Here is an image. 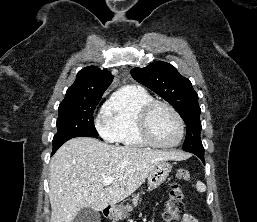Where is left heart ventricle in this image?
Wrapping results in <instances>:
<instances>
[{"label":"left heart ventricle","mask_w":257,"mask_h":222,"mask_svg":"<svg viewBox=\"0 0 257 222\" xmlns=\"http://www.w3.org/2000/svg\"><path fill=\"white\" fill-rule=\"evenodd\" d=\"M151 133L156 141L170 144L177 140L179 126L174 115L165 107H157L150 117Z\"/></svg>","instance_id":"obj_1"}]
</instances>
